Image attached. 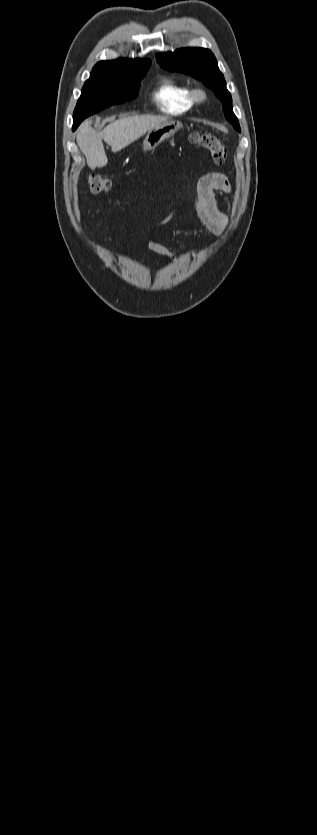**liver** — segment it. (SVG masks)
Instances as JSON below:
<instances>
[{"label": "liver", "mask_w": 317, "mask_h": 835, "mask_svg": "<svg viewBox=\"0 0 317 835\" xmlns=\"http://www.w3.org/2000/svg\"><path fill=\"white\" fill-rule=\"evenodd\" d=\"M164 121V117L129 116L112 121L102 132H97L91 127V120H87L79 127L76 141L86 157L89 168H100L108 163L102 140L111 146L113 153H116Z\"/></svg>", "instance_id": "6515ba94"}]
</instances>
